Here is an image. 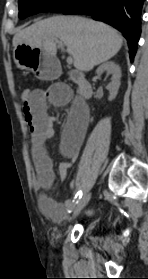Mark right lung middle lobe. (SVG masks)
Returning a JSON list of instances; mask_svg holds the SVG:
<instances>
[{
  "mask_svg": "<svg viewBox=\"0 0 148 279\" xmlns=\"http://www.w3.org/2000/svg\"><path fill=\"white\" fill-rule=\"evenodd\" d=\"M83 0H66L59 3L57 0H18L19 17L24 19L39 12H62L68 7L82 2Z\"/></svg>",
  "mask_w": 148,
  "mask_h": 279,
  "instance_id": "obj_1",
  "label": "right lung middle lobe"
}]
</instances>
